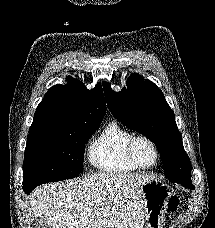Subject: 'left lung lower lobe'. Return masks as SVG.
<instances>
[{
  "label": "left lung lower lobe",
  "mask_w": 215,
  "mask_h": 228,
  "mask_svg": "<svg viewBox=\"0 0 215 228\" xmlns=\"http://www.w3.org/2000/svg\"><path fill=\"white\" fill-rule=\"evenodd\" d=\"M171 182H176L178 184H181L183 185L185 188H188V189H194L195 187L192 185V181H191V178H188V179H179V180H176V179H173L171 180Z\"/></svg>",
  "instance_id": "1"
}]
</instances>
